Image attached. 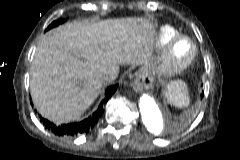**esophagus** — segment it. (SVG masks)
I'll list each match as a JSON object with an SVG mask.
<instances>
[{
    "instance_id": "34e87169",
    "label": "esophagus",
    "mask_w": 240,
    "mask_h": 160,
    "mask_svg": "<svg viewBox=\"0 0 240 160\" xmlns=\"http://www.w3.org/2000/svg\"><path fill=\"white\" fill-rule=\"evenodd\" d=\"M153 85L152 78L145 72L136 76L133 82V90L135 92H142L143 90L150 89Z\"/></svg>"
}]
</instances>
